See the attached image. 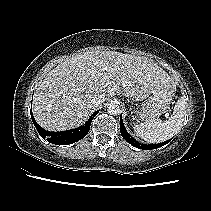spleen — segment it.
<instances>
[{"label": "spleen", "mask_w": 211, "mask_h": 211, "mask_svg": "<svg viewBox=\"0 0 211 211\" xmlns=\"http://www.w3.org/2000/svg\"><path fill=\"white\" fill-rule=\"evenodd\" d=\"M186 100L180 97L174 107L173 115L168 121L159 119L146 121L134 126V132L141 139L150 143H160L177 134L184 122Z\"/></svg>", "instance_id": "obj_1"}]
</instances>
